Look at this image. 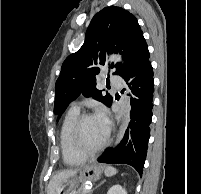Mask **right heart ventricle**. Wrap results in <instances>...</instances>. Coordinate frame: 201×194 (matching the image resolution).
<instances>
[{
	"instance_id": "e07e8e85",
	"label": "right heart ventricle",
	"mask_w": 201,
	"mask_h": 194,
	"mask_svg": "<svg viewBox=\"0 0 201 194\" xmlns=\"http://www.w3.org/2000/svg\"><path fill=\"white\" fill-rule=\"evenodd\" d=\"M79 115V109L70 108L62 120L59 132V144L62 158L64 163L69 166L82 164L86 160V157L80 155L72 144V128Z\"/></svg>"
}]
</instances>
